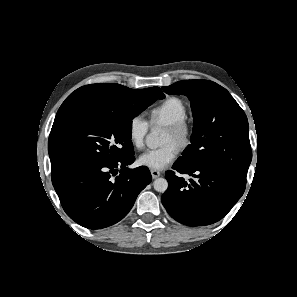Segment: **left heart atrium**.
I'll return each mask as SVG.
<instances>
[{
    "label": "left heart atrium",
    "mask_w": 297,
    "mask_h": 297,
    "mask_svg": "<svg viewBox=\"0 0 297 297\" xmlns=\"http://www.w3.org/2000/svg\"><path fill=\"white\" fill-rule=\"evenodd\" d=\"M179 150L175 143L170 142L159 148L151 149L142 154L139 163L154 170H162L170 165L178 156Z\"/></svg>",
    "instance_id": "1"
}]
</instances>
